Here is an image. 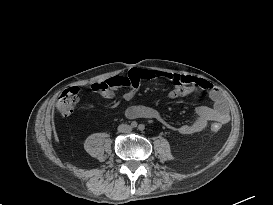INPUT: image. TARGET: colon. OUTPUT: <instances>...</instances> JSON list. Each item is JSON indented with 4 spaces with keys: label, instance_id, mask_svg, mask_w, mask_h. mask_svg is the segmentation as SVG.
I'll return each instance as SVG.
<instances>
[{
    "label": "colon",
    "instance_id": "5ec220e1",
    "mask_svg": "<svg viewBox=\"0 0 273 205\" xmlns=\"http://www.w3.org/2000/svg\"><path fill=\"white\" fill-rule=\"evenodd\" d=\"M139 81V78L133 77L130 80V84L136 86L138 85ZM78 94L79 90L75 88L66 89L60 93L57 99L56 106L58 111L62 115H69L74 111L75 106L78 102ZM211 130L213 132H218L220 130V125L216 123L212 124Z\"/></svg>",
    "mask_w": 273,
    "mask_h": 205
}]
</instances>
